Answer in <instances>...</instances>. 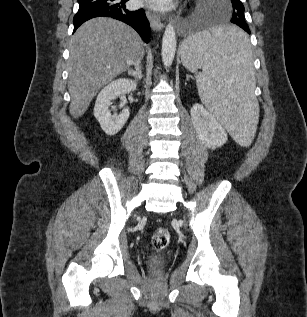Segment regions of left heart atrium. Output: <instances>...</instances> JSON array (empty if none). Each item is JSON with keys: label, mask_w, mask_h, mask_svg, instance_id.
Instances as JSON below:
<instances>
[{"label": "left heart atrium", "mask_w": 307, "mask_h": 317, "mask_svg": "<svg viewBox=\"0 0 307 317\" xmlns=\"http://www.w3.org/2000/svg\"><path fill=\"white\" fill-rule=\"evenodd\" d=\"M150 4L157 8H165L169 6L171 0H149Z\"/></svg>", "instance_id": "1"}]
</instances>
